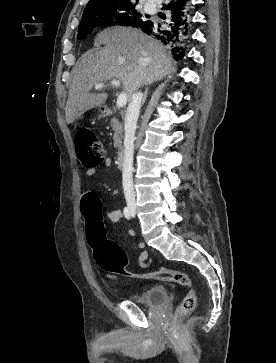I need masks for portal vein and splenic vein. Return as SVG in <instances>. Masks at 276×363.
<instances>
[{
	"mask_svg": "<svg viewBox=\"0 0 276 363\" xmlns=\"http://www.w3.org/2000/svg\"><path fill=\"white\" fill-rule=\"evenodd\" d=\"M109 84L112 85L113 87H120L121 83L119 80L114 79ZM104 87H106V84H104V83L95 85V89H101ZM126 103H127V95L124 92H122L119 94V96L117 98L116 105L118 108H123L126 105Z\"/></svg>",
	"mask_w": 276,
	"mask_h": 363,
	"instance_id": "obj_1",
	"label": "portal vein and splenic vein"
}]
</instances>
